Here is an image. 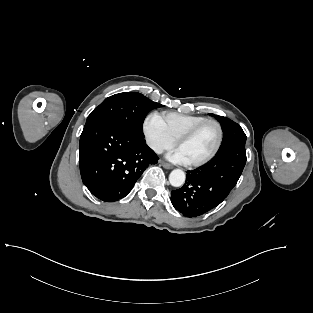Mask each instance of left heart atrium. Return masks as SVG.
Here are the masks:
<instances>
[{
  "mask_svg": "<svg viewBox=\"0 0 313 313\" xmlns=\"http://www.w3.org/2000/svg\"><path fill=\"white\" fill-rule=\"evenodd\" d=\"M167 158L178 164H188L189 161L181 149L177 148L167 154Z\"/></svg>",
  "mask_w": 313,
  "mask_h": 313,
  "instance_id": "left-heart-atrium-1",
  "label": "left heart atrium"
}]
</instances>
